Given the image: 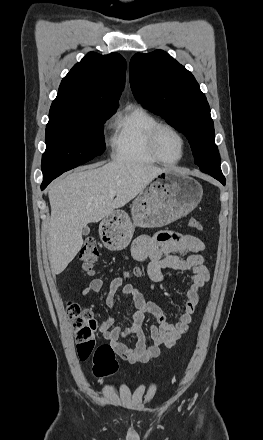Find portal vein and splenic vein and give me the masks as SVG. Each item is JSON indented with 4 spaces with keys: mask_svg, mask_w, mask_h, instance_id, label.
<instances>
[{
    "mask_svg": "<svg viewBox=\"0 0 263 440\" xmlns=\"http://www.w3.org/2000/svg\"><path fill=\"white\" fill-rule=\"evenodd\" d=\"M110 198H114L116 196V192L112 191L109 193Z\"/></svg>",
    "mask_w": 263,
    "mask_h": 440,
    "instance_id": "portal-vein-and-splenic-vein-1",
    "label": "portal vein and splenic vein"
}]
</instances>
